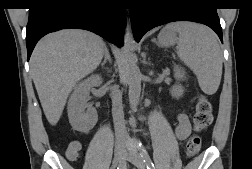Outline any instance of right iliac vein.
I'll use <instances>...</instances> for the list:
<instances>
[{
    "label": "right iliac vein",
    "instance_id": "1",
    "mask_svg": "<svg viewBox=\"0 0 252 169\" xmlns=\"http://www.w3.org/2000/svg\"><path fill=\"white\" fill-rule=\"evenodd\" d=\"M124 158V145L117 144L114 150V165L119 164Z\"/></svg>",
    "mask_w": 252,
    "mask_h": 169
}]
</instances>
